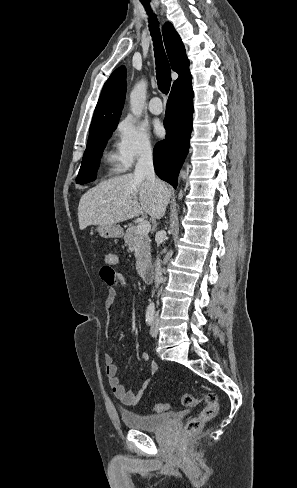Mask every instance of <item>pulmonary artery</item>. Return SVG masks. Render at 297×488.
<instances>
[{
	"instance_id": "pulmonary-artery-1",
	"label": "pulmonary artery",
	"mask_w": 297,
	"mask_h": 488,
	"mask_svg": "<svg viewBox=\"0 0 297 488\" xmlns=\"http://www.w3.org/2000/svg\"><path fill=\"white\" fill-rule=\"evenodd\" d=\"M148 109L152 114H161L163 111V107L160 99L158 97H153L149 102Z\"/></svg>"
}]
</instances>
